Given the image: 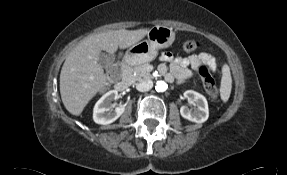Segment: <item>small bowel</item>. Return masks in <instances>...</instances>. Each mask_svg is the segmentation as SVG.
<instances>
[{"mask_svg":"<svg viewBox=\"0 0 287 175\" xmlns=\"http://www.w3.org/2000/svg\"><path fill=\"white\" fill-rule=\"evenodd\" d=\"M160 59L163 63L159 66V71L167 81H172L173 78L184 81L191 76L190 68L197 70L201 64H207L212 70H215L217 67L214 56L207 52L189 57H177L171 52H163ZM166 63L169 64V69Z\"/></svg>","mask_w":287,"mask_h":175,"instance_id":"obj_1","label":"small bowel"}]
</instances>
